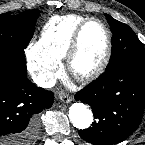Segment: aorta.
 <instances>
[{"label":"aorta","mask_w":145,"mask_h":145,"mask_svg":"<svg viewBox=\"0 0 145 145\" xmlns=\"http://www.w3.org/2000/svg\"><path fill=\"white\" fill-rule=\"evenodd\" d=\"M69 119L74 127L87 129L93 122L92 111L83 103H74L69 108Z\"/></svg>","instance_id":"1"}]
</instances>
